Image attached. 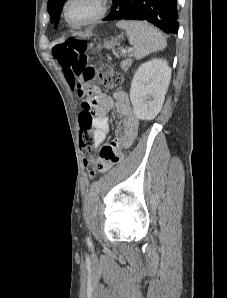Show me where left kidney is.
<instances>
[{
  "mask_svg": "<svg viewBox=\"0 0 227 298\" xmlns=\"http://www.w3.org/2000/svg\"><path fill=\"white\" fill-rule=\"evenodd\" d=\"M171 79L166 60L152 59L136 71L130 89L133 112L140 120L154 119L162 109Z\"/></svg>",
  "mask_w": 227,
  "mask_h": 298,
  "instance_id": "1",
  "label": "left kidney"
}]
</instances>
